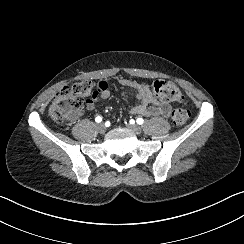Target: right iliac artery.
<instances>
[{
	"instance_id": "1",
	"label": "right iliac artery",
	"mask_w": 244,
	"mask_h": 244,
	"mask_svg": "<svg viewBox=\"0 0 244 244\" xmlns=\"http://www.w3.org/2000/svg\"><path fill=\"white\" fill-rule=\"evenodd\" d=\"M95 121H96L97 123L101 122V121H102V117L97 116V117L95 118Z\"/></svg>"
}]
</instances>
